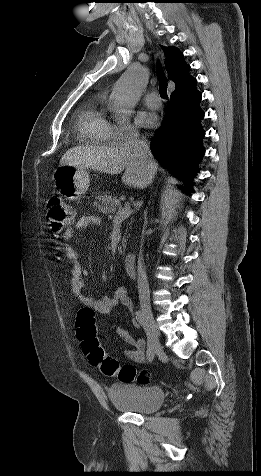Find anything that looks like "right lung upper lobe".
<instances>
[{"label": "right lung upper lobe", "mask_w": 261, "mask_h": 476, "mask_svg": "<svg viewBox=\"0 0 261 476\" xmlns=\"http://www.w3.org/2000/svg\"><path fill=\"white\" fill-rule=\"evenodd\" d=\"M162 49L167 59V71L174 81L176 89H178L191 78L189 75L190 67L185 63L184 56L179 50L167 47H162Z\"/></svg>", "instance_id": "right-lung-upper-lobe-1"}]
</instances>
